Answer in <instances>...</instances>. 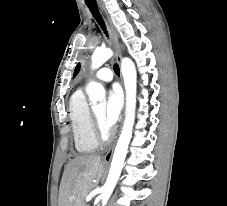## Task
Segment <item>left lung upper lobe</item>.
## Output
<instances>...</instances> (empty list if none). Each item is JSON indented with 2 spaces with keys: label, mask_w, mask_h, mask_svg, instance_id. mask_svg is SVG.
Returning <instances> with one entry per match:
<instances>
[{
  "label": "left lung upper lobe",
  "mask_w": 227,
  "mask_h": 206,
  "mask_svg": "<svg viewBox=\"0 0 227 206\" xmlns=\"http://www.w3.org/2000/svg\"><path fill=\"white\" fill-rule=\"evenodd\" d=\"M79 68H80V65L78 64L77 67H76V69H75V71H74V76L77 74Z\"/></svg>",
  "instance_id": "1"
}]
</instances>
